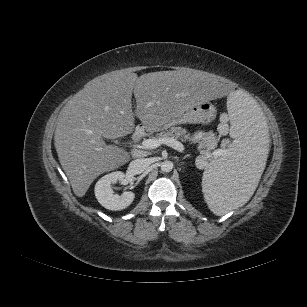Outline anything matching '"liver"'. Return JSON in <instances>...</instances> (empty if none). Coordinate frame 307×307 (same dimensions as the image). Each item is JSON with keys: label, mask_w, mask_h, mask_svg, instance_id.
Returning <instances> with one entry per match:
<instances>
[{"label": "liver", "mask_w": 307, "mask_h": 307, "mask_svg": "<svg viewBox=\"0 0 307 307\" xmlns=\"http://www.w3.org/2000/svg\"><path fill=\"white\" fill-rule=\"evenodd\" d=\"M230 88L197 70L143 74L113 71L88 82L63 107L54 135L60 164L73 192L83 197L102 173L125 164L130 155L102 138L133 132L134 115L145 127L162 125L193 104L226 98ZM132 94L136 99L132 111ZM215 161V160H213ZM212 161V162H213Z\"/></svg>", "instance_id": "6515ba94"}]
</instances>
